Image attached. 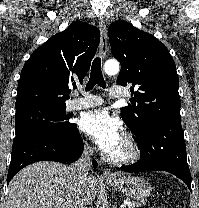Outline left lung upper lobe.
Wrapping results in <instances>:
<instances>
[{
    "label": "left lung upper lobe",
    "mask_w": 199,
    "mask_h": 208,
    "mask_svg": "<svg viewBox=\"0 0 199 208\" xmlns=\"http://www.w3.org/2000/svg\"><path fill=\"white\" fill-rule=\"evenodd\" d=\"M111 52L121 63L117 83H132L131 104L121 109L123 121L141 140L149 125L179 119V78L166 46L149 33L125 21L109 26Z\"/></svg>",
    "instance_id": "1"
}]
</instances>
